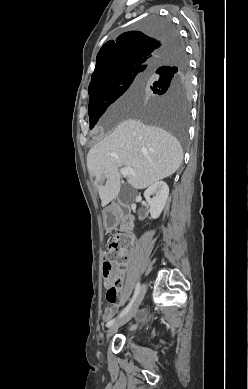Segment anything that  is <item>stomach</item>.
<instances>
[{
    "instance_id": "0dacf381",
    "label": "stomach",
    "mask_w": 248,
    "mask_h": 389,
    "mask_svg": "<svg viewBox=\"0 0 248 389\" xmlns=\"http://www.w3.org/2000/svg\"><path fill=\"white\" fill-rule=\"evenodd\" d=\"M105 218H106L107 220H112V219L114 218V215H113L112 213H107V214L105 215Z\"/></svg>"
}]
</instances>
